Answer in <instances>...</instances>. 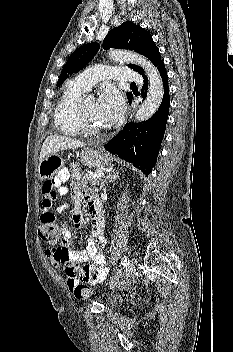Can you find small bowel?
Here are the masks:
<instances>
[{
  "mask_svg": "<svg viewBox=\"0 0 233 352\" xmlns=\"http://www.w3.org/2000/svg\"><path fill=\"white\" fill-rule=\"evenodd\" d=\"M69 179V171L66 168L61 169L58 174L51 180H46L42 187V224H53L58 226L65 238L62 245L54 246L46 251L48 258L59 268L66 278L68 288L72 291L80 282L94 285L103 282L109 268L103 250L106 239L104 236V218L99 211L94 209V202H97L95 195L89 189L82 187L79 183H72V201L74 208L71 213L73 225L78 228L83 223V216L78 209L81 200L88 201L91 213L90 236L84 251L69 250L72 234L65 223H58L56 216L52 211L53 201L68 193L69 189L64 184ZM63 206L57 208L61 213ZM89 261L88 264L79 268L78 264Z\"/></svg>",
  "mask_w": 233,
  "mask_h": 352,
  "instance_id": "1",
  "label": "small bowel"
}]
</instances>
